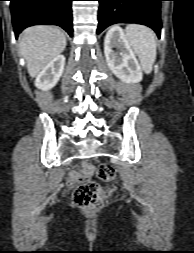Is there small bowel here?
I'll return each mask as SVG.
<instances>
[{
  "instance_id": "1",
  "label": "small bowel",
  "mask_w": 194,
  "mask_h": 253,
  "mask_svg": "<svg viewBox=\"0 0 194 253\" xmlns=\"http://www.w3.org/2000/svg\"><path fill=\"white\" fill-rule=\"evenodd\" d=\"M80 180H81V177H80L79 171L77 169H73L68 174L67 184L69 186H73L77 184Z\"/></svg>"
}]
</instances>
